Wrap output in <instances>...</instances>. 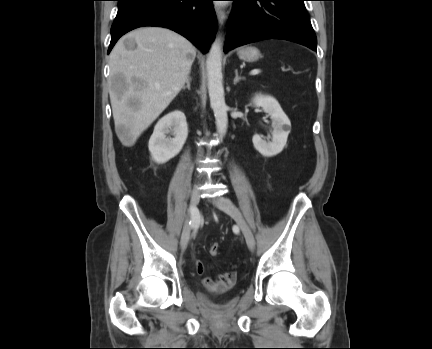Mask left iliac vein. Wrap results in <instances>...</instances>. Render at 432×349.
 I'll use <instances>...</instances> for the list:
<instances>
[{
	"mask_svg": "<svg viewBox=\"0 0 432 349\" xmlns=\"http://www.w3.org/2000/svg\"><path fill=\"white\" fill-rule=\"evenodd\" d=\"M213 203L215 204L216 207L223 210L224 212H226L227 214H229L231 217H233L236 220L238 226L240 227V229H241V231L245 237V240H246V243H247L249 249L254 250L255 238H254L253 232H252L251 228L249 227V225L247 224V222L245 221V219L243 218L240 211L232 203V201L228 198H225V197H215L213 200Z\"/></svg>",
	"mask_w": 432,
	"mask_h": 349,
	"instance_id": "4c4485c4",
	"label": "left iliac vein"
}]
</instances>
